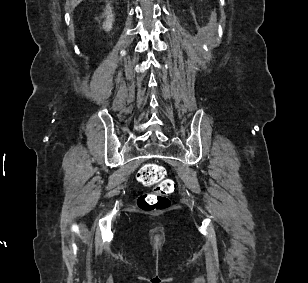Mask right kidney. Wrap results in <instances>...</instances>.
<instances>
[{
    "label": "right kidney",
    "mask_w": 308,
    "mask_h": 283,
    "mask_svg": "<svg viewBox=\"0 0 308 283\" xmlns=\"http://www.w3.org/2000/svg\"><path fill=\"white\" fill-rule=\"evenodd\" d=\"M105 15L106 21L103 24V29L106 31H110L114 22V16L112 14V8L110 7V4H107L106 6Z\"/></svg>",
    "instance_id": "right-kidney-1"
}]
</instances>
